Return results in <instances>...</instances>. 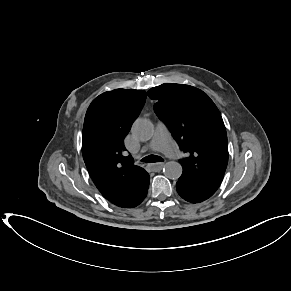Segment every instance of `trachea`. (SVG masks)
<instances>
[{
  "label": "trachea",
  "instance_id": "obj_1",
  "mask_svg": "<svg viewBox=\"0 0 291 291\" xmlns=\"http://www.w3.org/2000/svg\"><path fill=\"white\" fill-rule=\"evenodd\" d=\"M141 161L146 162V163H154V162H162L163 159L157 155H149V156L144 157Z\"/></svg>",
  "mask_w": 291,
  "mask_h": 291
}]
</instances>
